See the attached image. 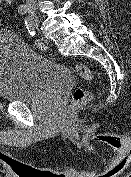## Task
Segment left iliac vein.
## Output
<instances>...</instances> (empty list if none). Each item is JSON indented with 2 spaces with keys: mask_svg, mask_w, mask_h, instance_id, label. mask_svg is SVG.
<instances>
[{
  "mask_svg": "<svg viewBox=\"0 0 131 177\" xmlns=\"http://www.w3.org/2000/svg\"><path fill=\"white\" fill-rule=\"evenodd\" d=\"M32 23L34 24V26L36 25L35 21H34V18L32 19Z\"/></svg>",
  "mask_w": 131,
  "mask_h": 177,
  "instance_id": "obj_1",
  "label": "left iliac vein"
}]
</instances>
